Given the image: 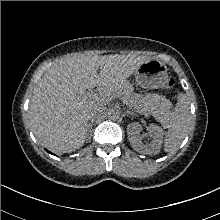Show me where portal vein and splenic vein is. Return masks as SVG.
Listing matches in <instances>:
<instances>
[{
    "label": "portal vein and splenic vein",
    "instance_id": "obj_1",
    "mask_svg": "<svg viewBox=\"0 0 220 220\" xmlns=\"http://www.w3.org/2000/svg\"><path fill=\"white\" fill-rule=\"evenodd\" d=\"M98 94L94 93V92H89L86 94V97L88 98H94V97H97Z\"/></svg>",
    "mask_w": 220,
    "mask_h": 220
}]
</instances>
